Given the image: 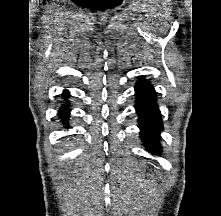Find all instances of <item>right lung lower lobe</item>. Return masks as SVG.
I'll list each match as a JSON object with an SVG mask.
<instances>
[{
    "instance_id": "right-lung-lower-lobe-1",
    "label": "right lung lower lobe",
    "mask_w": 221,
    "mask_h": 216,
    "mask_svg": "<svg viewBox=\"0 0 221 216\" xmlns=\"http://www.w3.org/2000/svg\"><path fill=\"white\" fill-rule=\"evenodd\" d=\"M63 96L65 98H68L69 97V93L67 91H64L63 93ZM69 112H70V109L66 106H62L60 109H59V113L58 115L60 116V118L66 122L68 120V116H69ZM68 128V127H67Z\"/></svg>"
}]
</instances>
